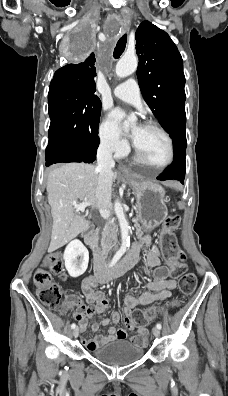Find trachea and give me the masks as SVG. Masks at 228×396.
<instances>
[{"label":"trachea","mask_w":228,"mask_h":396,"mask_svg":"<svg viewBox=\"0 0 228 396\" xmlns=\"http://www.w3.org/2000/svg\"><path fill=\"white\" fill-rule=\"evenodd\" d=\"M127 43V34H124L117 42L116 47L114 49L113 57L118 59L125 50Z\"/></svg>","instance_id":"3493384b"}]
</instances>
